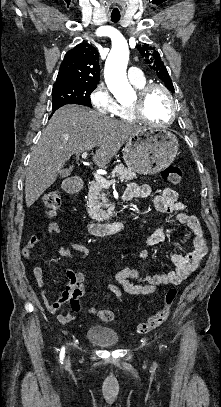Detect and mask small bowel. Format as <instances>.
Segmentation results:
<instances>
[{
	"mask_svg": "<svg viewBox=\"0 0 221 407\" xmlns=\"http://www.w3.org/2000/svg\"><path fill=\"white\" fill-rule=\"evenodd\" d=\"M151 187L148 185H129L124 191V200L130 201L135 197H149L151 195ZM152 206L164 213H174L179 222L186 225L192 235V251L188 253L176 254L172 257V262L175 266L174 270L165 272H153L142 273L135 268L123 267L117 271L116 280L118 284L109 283L108 289L113 295L120 301L122 299V290L131 295H149L156 292L161 286L178 285L185 280L192 272H194L200 265L203 257L207 254V242L202 230L199 220L191 215L188 211V207L184 202L179 201L178 193L176 190L164 187L157 190V192L151 198ZM47 230L50 233H60L61 229L57 225H49ZM167 229L165 227L157 229L153 234L147 238V244L149 246L158 245L164 242L166 238ZM81 237L80 232L73 234L71 239L72 246L81 252H85V247L78 245L76 240ZM39 238L33 235L22 249V257L24 259H30L32 250L37 244ZM60 256L67 259H74L75 255L71 249L66 246H60L58 248ZM148 256L147 250H142L139 254L140 261L144 262ZM83 258V257H80ZM68 278V284L63 290L62 294L54 301H49L45 290V280L43 271L40 267L35 266L32 269V275L35 278L38 286L42 291L43 302L52 314H57V318L60 323L68 324L74 317L70 314L59 313L60 308L70 303L73 299L68 286L72 283H80L82 285L86 280V273L83 271H74L67 269L65 271Z\"/></svg>",
	"mask_w": 221,
	"mask_h": 407,
	"instance_id": "c3829d8e",
	"label": "small bowel"
}]
</instances>
